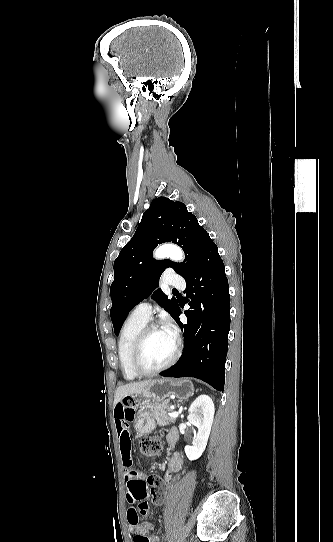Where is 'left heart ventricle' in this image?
Wrapping results in <instances>:
<instances>
[{"label":"left heart ventricle","instance_id":"left-heart-ventricle-1","mask_svg":"<svg viewBox=\"0 0 333 542\" xmlns=\"http://www.w3.org/2000/svg\"><path fill=\"white\" fill-rule=\"evenodd\" d=\"M175 339L162 328L153 331L147 338L140 358L144 369H154L165 363L174 351Z\"/></svg>","mask_w":333,"mask_h":542}]
</instances>
